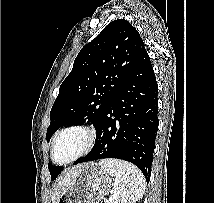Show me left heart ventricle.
Segmentation results:
<instances>
[{"instance_id":"1","label":"left heart ventricle","mask_w":214,"mask_h":203,"mask_svg":"<svg viewBox=\"0 0 214 203\" xmlns=\"http://www.w3.org/2000/svg\"><path fill=\"white\" fill-rule=\"evenodd\" d=\"M86 134L81 130H71L64 133L55 148V159L58 162L69 160L78 154L86 144Z\"/></svg>"}]
</instances>
